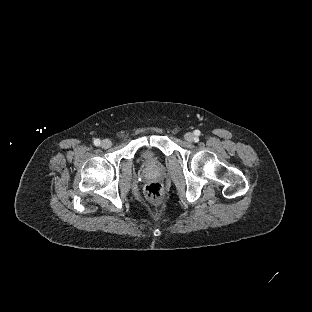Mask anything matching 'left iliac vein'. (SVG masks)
<instances>
[{
    "instance_id": "4c4485c4",
    "label": "left iliac vein",
    "mask_w": 312,
    "mask_h": 312,
    "mask_svg": "<svg viewBox=\"0 0 312 312\" xmlns=\"http://www.w3.org/2000/svg\"><path fill=\"white\" fill-rule=\"evenodd\" d=\"M185 140L187 142H193L195 140L194 134L191 132H188L185 134Z\"/></svg>"
}]
</instances>
